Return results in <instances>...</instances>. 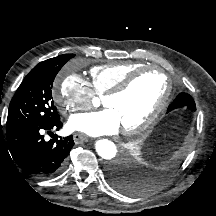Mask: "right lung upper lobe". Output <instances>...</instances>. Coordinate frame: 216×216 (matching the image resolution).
<instances>
[{"mask_svg":"<svg viewBox=\"0 0 216 216\" xmlns=\"http://www.w3.org/2000/svg\"><path fill=\"white\" fill-rule=\"evenodd\" d=\"M41 63H42V62H41ZM41 63H39L38 65H36V68L39 67Z\"/></svg>","mask_w":216,"mask_h":216,"instance_id":"1","label":"right lung upper lobe"}]
</instances>
